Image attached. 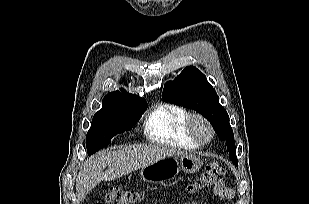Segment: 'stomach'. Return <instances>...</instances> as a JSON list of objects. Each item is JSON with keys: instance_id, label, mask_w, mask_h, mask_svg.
<instances>
[{"instance_id": "0dacf381", "label": "stomach", "mask_w": 309, "mask_h": 204, "mask_svg": "<svg viewBox=\"0 0 309 204\" xmlns=\"http://www.w3.org/2000/svg\"><path fill=\"white\" fill-rule=\"evenodd\" d=\"M202 165L199 157L184 153L179 156H168L151 163L141 169L140 176L148 183H158L166 179L174 178L180 170L185 173H195Z\"/></svg>"}]
</instances>
